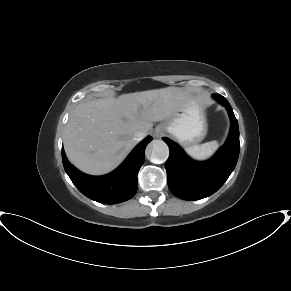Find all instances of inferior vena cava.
Returning <instances> with one entry per match:
<instances>
[{
	"mask_svg": "<svg viewBox=\"0 0 291 291\" xmlns=\"http://www.w3.org/2000/svg\"><path fill=\"white\" fill-rule=\"evenodd\" d=\"M146 137V133L143 131H137L134 133L133 135V139L138 142L141 141L142 139H144Z\"/></svg>",
	"mask_w": 291,
	"mask_h": 291,
	"instance_id": "inferior-vena-cava-1",
	"label": "inferior vena cava"
}]
</instances>
